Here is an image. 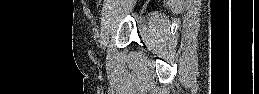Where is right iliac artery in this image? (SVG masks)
<instances>
[{"label": "right iliac artery", "instance_id": "right-iliac-artery-1", "mask_svg": "<svg viewBox=\"0 0 259 94\" xmlns=\"http://www.w3.org/2000/svg\"><path fill=\"white\" fill-rule=\"evenodd\" d=\"M106 11H107V3H106V5H104V7L102 9V21H101V24H103V22L105 20Z\"/></svg>", "mask_w": 259, "mask_h": 94}]
</instances>
